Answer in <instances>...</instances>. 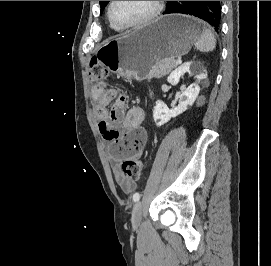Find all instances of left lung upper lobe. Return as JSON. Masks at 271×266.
<instances>
[{"instance_id": "left-lung-upper-lobe-1", "label": "left lung upper lobe", "mask_w": 271, "mask_h": 266, "mask_svg": "<svg viewBox=\"0 0 271 266\" xmlns=\"http://www.w3.org/2000/svg\"><path fill=\"white\" fill-rule=\"evenodd\" d=\"M108 2H109V1H100L101 13L103 12L104 7L107 5Z\"/></svg>"}]
</instances>
